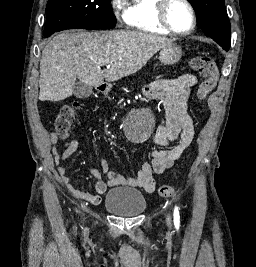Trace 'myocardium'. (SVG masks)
<instances>
[{"label":"myocardium","instance_id":"obj_1","mask_svg":"<svg viewBox=\"0 0 256 267\" xmlns=\"http://www.w3.org/2000/svg\"><path fill=\"white\" fill-rule=\"evenodd\" d=\"M172 1H178L182 4H184L190 11L191 13V17H192V25L190 30L186 31V32H179L177 30H175L167 17V10H168V6ZM157 21L158 24L165 29L166 31L170 32L173 35L179 36V37H186L191 35L195 29H196V25H197V19H196V13L193 9V7L186 1V0H160L159 3V10L157 13Z\"/></svg>","mask_w":256,"mask_h":267}]
</instances>
